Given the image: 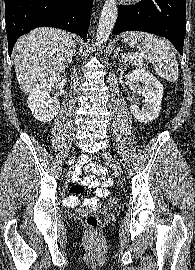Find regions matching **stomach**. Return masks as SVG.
I'll return each instance as SVG.
<instances>
[{
    "instance_id": "stomach-1",
    "label": "stomach",
    "mask_w": 195,
    "mask_h": 270,
    "mask_svg": "<svg viewBox=\"0 0 195 270\" xmlns=\"http://www.w3.org/2000/svg\"><path fill=\"white\" fill-rule=\"evenodd\" d=\"M123 42L134 47L137 45L138 40L131 37L129 34H124L123 35Z\"/></svg>"
}]
</instances>
